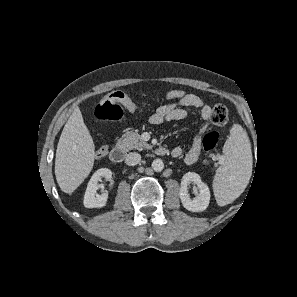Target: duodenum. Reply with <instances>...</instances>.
Returning a JSON list of instances; mask_svg holds the SVG:
<instances>
[{"label":"duodenum","mask_w":297,"mask_h":297,"mask_svg":"<svg viewBox=\"0 0 297 297\" xmlns=\"http://www.w3.org/2000/svg\"><path fill=\"white\" fill-rule=\"evenodd\" d=\"M155 152L157 155L164 156L169 153V150L165 147L160 146L155 149ZM126 154L127 150L125 146L116 145L110 152V159L115 163H120L125 159Z\"/></svg>","instance_id":"1"}]
</instances>
